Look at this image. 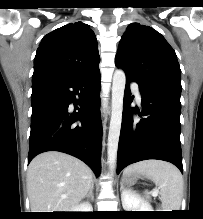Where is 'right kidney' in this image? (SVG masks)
<instances>
[{
  "instance_id": "right-kidney-1",
  "label": "right kidney",
  "mask_w": 203,
  "mask_h": 219,
  "mask_svg": "<svg viewBox=\"0 0 203 219\" xmlns=\"http://www.w3.org/2000/svg\"><path fill=\"white\" fill-rule=\"evenodd\" d=\"M93 208L89 203H81L70 210V212H92Z\"/></svg>"
}]
</instances>
